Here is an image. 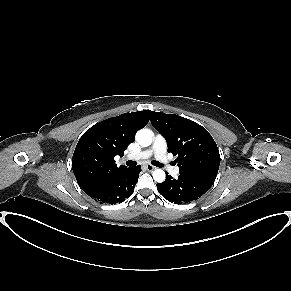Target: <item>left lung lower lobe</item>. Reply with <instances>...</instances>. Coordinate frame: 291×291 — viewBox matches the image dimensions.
<instances>
[{
    "label": "left lung lower lobe",
    "instance_id": "obj_1",
    "mask_svg": "<svg viewBox=\"0 0 291 291\" xmlns=\"http://www.w3.org/2000/svg\"><path fill=\"white\" fill-rule=\"evenodd\" d=\"M214 181L215 179L195 175L180 174L177 179L167 175L164 182L157 184V189L171 203H190L208 191Z\"/></svg>",
    "mask_w": 291,
    "mask_h": 291
}]
</instances>
